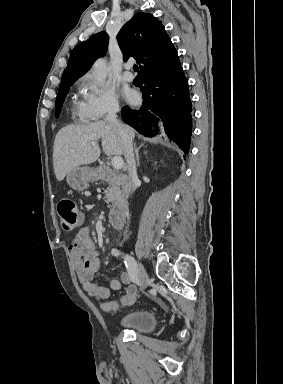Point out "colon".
Instances as JSON below:
<instances>
[{
	"label": "colon",
	"mask_w": 283,
	"mask_h": 384,
	"mask_svg": "<svg viewBox=\"0 0 283 384\" xmlns=\"http://www.w3.org/2000/svg\"><path fill=\"white\" fill-rule=\"evenodd\" d=\"M58 214L60 216L62 228L67 231H73L83 223V214L78 209L76 203L72 199H63L59 202ZM136 298V291L130 287L122 295L119 302L108 301L102 304L104 312L112 313L118 309L119 306H130L134 303Z\"/></svg>",
	"instance_id": "colon-1"
}]
</instances>
